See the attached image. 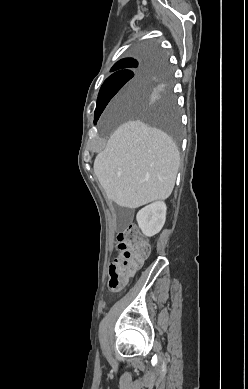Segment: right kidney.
Wrapping results in <instances>:
<instances>
[{"label":"right kidney","mask_w":248,"mask_h":389,"mask_svg":"<svg viewBox=\"0 0 248 389\" xmlns=\"http://www.w3.org/2000/svg\"><path fill=\"white\" fill-rule=\"evenodd\" d=\"M166 210V204L158 201L142 208L137 213V223L145 236L152 237L160 232L166 220Z\"/></svg>","instance_id":"right-kidney-1"}]
</instances>
